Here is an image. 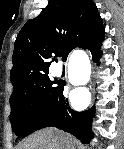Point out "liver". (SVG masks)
Here are the masks:
<instances>
[{"mask_svg":"<svg viewBox=\"0 0 124 149\" xmlns=\"http://www.w3.org/2000/svg\"><path fill=\"white\" fill-rule=\"evenodd\" d=\"M76 143L68 134L54 129H43L28 137L20 149H75Z\"/></svg>","mask_w":124,"mask_h":149,"instance_id":"obj_1","label":"liver"}]
</instances>
